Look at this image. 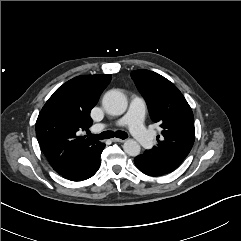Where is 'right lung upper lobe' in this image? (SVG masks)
Returning a JSON list of instances; mask_svg holds the SVG:
<instances>
[{
  "label": "right lung upper lobe",
  "mask_w": 241,
  "mask_h": 241,
  "mask_svg": "<svg viewBox=\"0 0 241 241\" xmlns=\"http://www.w3.org/2000/svg\"><path fill=\"white\" fill-rule=\"evenodd\" d=\"M110 80L109 74L75 77L59 87L39 113L36 136L57 173L62 174L103 145L79 133L92 125L90 111Z\"/></svg>",
  "instance_id": "right-lung-upper-lobe-1"
}]
</instances>
